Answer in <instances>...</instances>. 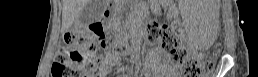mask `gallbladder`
<instances>
[{
    "mask_svg": "<svg viewBox=\"0 0 258 77\" xmlns=\"http://www.w3.org/2000/svg\"><path fill=\"white\" fill-rule=\"evenodd\" d=\"M102 10L103 4L101 0H89L77 18L76 25L84 26L92 21L97 20Z\"/></svg>",
    "mask_w": 258,
    "mask_h": 77,
    "instance_id": "gallbladder-1",
    "label": "gallbladder"
}]
</instances>
